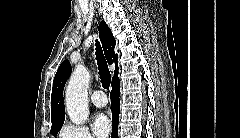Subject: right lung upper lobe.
<instances>
[{
  "label": "right lung upper lobe",
  "instance_id": "obj_1",
  "mask_svg": "<svg viewBox=\"0 0 240 138\" xmlns=\"http://www.w3.org/2000/svg\"><path fill=\"white\" fill-rule=\"evenodd\" d=\"M99 36L102 42L105 57L109 64L115 62V75L113 80H117V55L114 54L115 39L112 35L110 28L102 21L99 25ZM71 74V65L68 60H65L59 66L57 73L54 77L52 95H51V122L52 126L63 124L65 119V108L63 102V88Z\"/></svg>",
  "mask_w": 240,
  "mask_h": 138
}]
</instances>
